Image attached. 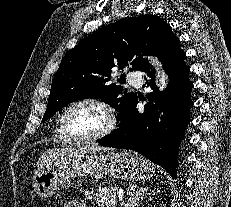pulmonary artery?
<instances>
[{"label": "pulmonary artery", "instance_id": "pulmonary-artery-1", "mask_svg": "<svg viewBox=\"0 0 231 207\" xmlns=\"http://www.w3.org/2000/svg\"><path fill=\"white\" fill-rule=\"evenodd\" d=\"M128 82L134 87H140L142 84V77L138 72H129L127 74Z\"/></svg>", "mask_w": 231, "mask_h": 207}]
</instances>
